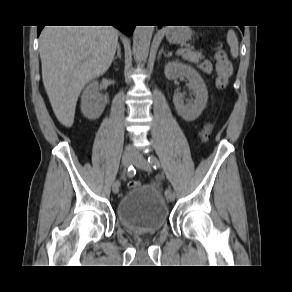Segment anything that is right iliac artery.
I'll return each mask as SVG.
<instances>
[{
    "mask_svg": "<svg viewBox=\"0 0 292 292\" xmlns=\"http://www.w3.org/2000/svg\"><path fill=\"white\" fill-rule=\"evenodd\" d=\"M135 173H136L135 168H134L133 166H130V167L128 168V170H127V176H128L129 178H132V177L135 175ZM115 183H117V187H120L121 184H122V181L116 179V182H115Z\"/></svg>",
    "mask_w": 292,
    "mask_h": 292,
    "instance_id": "obj_1",
    "label": "right iliac artery"
}]
</instances>
